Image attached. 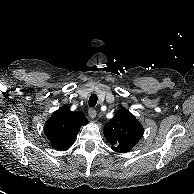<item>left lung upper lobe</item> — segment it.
Masks as SVG:
<instances>
[{
  "label": "left lung upper lobe",
  "instance_id": "left-lung-upper-lobe-1",
  "mask_svg": "<svg viewBox=\"0 0 194 194\" xmlns=\"http://www.w3.org/2000/svg\"><path fill=\"white\" fill-rule=\"evenodd\" d=\"M143 133L142 125L126 108L118 110L104 129V136L111 148L120 153L130 151Z\"/></svg>",
  "mask_w": 194,
  "mask_h": 194
}]
</instances>
